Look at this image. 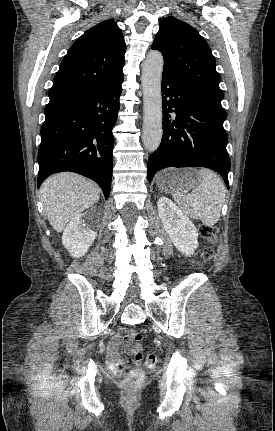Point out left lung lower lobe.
Here are the masks:
<instances>
[{"label":"left lung lower lobe","instance_id":"1","mask_svg":"<svg viewBox=\"0 0 275 431\" xmlns=\"http://www.w3.org/2000/svg\"><path fill=\"white\" fill-rule=\"evenodd\" d=\"M162 99L163 136L149 157L148 181L167 167H206L218 172L229 188L226 112L203 103L168 73L162 75Z\"/></svg>","mask_w":275,"mask_h":431}]
</instances>
